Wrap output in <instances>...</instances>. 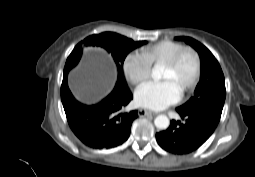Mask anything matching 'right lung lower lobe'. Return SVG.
I'll list each match as a JSON object with an SVG mask.
<instances>
[{"mask_svg": "<svg viewBox=\"0 0 255 177\" xmlns=\"http://www.w3.org/2000/svg\"><path fill=\"white\" fill-rule=\"evenodd\" d=\"M64 71L61 85V100L74 134L87 146L94 149H110L121 145L130 136L132 122L137 111L122 109L133 98L128 88L116 84L112 92L94 105L79 102L70 92Z\"/></svg>", "mask_w": 255, "mask_h": 177, "instance_id": "98d812e1", "label": "right lung lower lobe"}]
</instances>
